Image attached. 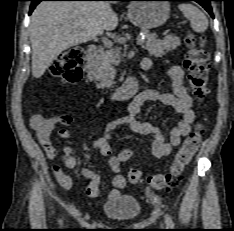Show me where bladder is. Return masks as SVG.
<instances>
[{"mask_svg": "<svg viewBox=\"0 0 234 231\" xmlns=\"http://www.w3.org/2000/svg\"><path fill=\"white\" fill-rule=\"evenodd\" d=\"M102 210L113 220L131 221L141 214L142 205L136 198L123 194L108 202Z\"/></svg>", "mask_w": 234, "mask_h": 231, "instance_id": "bladder-1", "label": "bladder"}]
</instances>
